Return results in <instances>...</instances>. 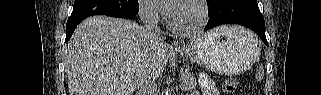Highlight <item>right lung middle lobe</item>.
<instances>
[{
  "mask_svg": "<svg viewBox=\"0 0 321 95\" xmlns=\"http://www.w3.org/2000/svg\"><path fill=\"white\" fill-rule=\"evenodd\" d=\"M138 6V0H75L71 15H136Z\"/></svg>",
  "mask_w": 321,
  "mask_h": 95,
  "instance_id": "right-lung-middle-lobe-1",
  "label": "right lung middle lobe"
}]
</instances>
